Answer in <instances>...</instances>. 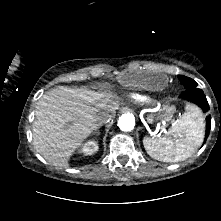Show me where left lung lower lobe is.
Listing matches in <instances>:
<instances>
[{"instance_id": "1", "label": "left lung lower lobe", "mask_w": 221, "mask_h": 221, "mask_svg": "<svg viewBox=\"0 0 221 221\" xmlns=\"http://www.w3.org/2000/svg\"><path fill=\"white\" fill-rule=\"evenodd\" d=\"M181 98L186 99L190 102L195 103L198 105L203 112H207L209 110V104L207 102L206 96L204 95L203 90L199 88H192V89H186L183 93L180 95ZM211 128V118L210 116L206 117V133H205V141L208 138L209 132Z\"/></svg>"}]
</instances>
